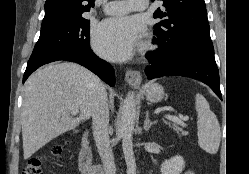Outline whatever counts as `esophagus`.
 Segmentation results:
<instances>
[{
    "label": "esophagus",
    "mask_w": 249,
    "mask_h": 174,
    "mask_svg": "<svg viewBox=\"0 0 249 174\" xmlns=\"http://www.w3.org/2000/svg\"><path fill=\"white\" fill-rule=\"evenodd\" d=\"M125 80L131 85L138 86L142 81V76L139 71L127 70Z\"/></svg>",
    "instance_id": "34e87169"
}]
</instances>
